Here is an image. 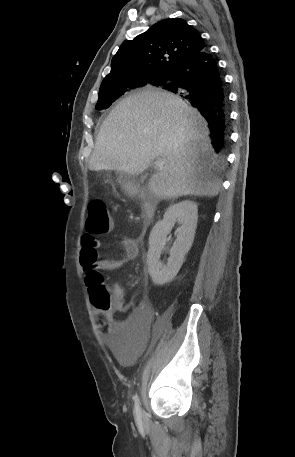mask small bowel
<instances>
[{
    "label": "small bowel",
    "instance_id": "obj_1",
    "mask_svg": "<svg viewBox=\"0 0 295 457\" xmlns=\"http://www.w3.org/2000/svg\"><path fill=\"white\" fill-rule=\"evenodd\" d=\"M119 245L125 251L124 258H99L98 249L101 241L95 234L86 232L81 237L80 260L84 269L86 263L96 265L104 271H112L123 267L127 262L135 259L138 255V240L131 237H121L118 239ZM113 312L126 314L128 311L125 302L124 290L120 285L113 286L112 292ZM154 311L152 306L143 302L139 308L130 313L123 321L107 322L106 328H101L106 338H139V334L144 333L152 322Z\"/></svg>",
    "mask_w": 295,
    "mask_h": 457
}]
</instances>
